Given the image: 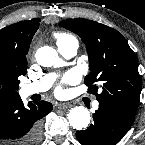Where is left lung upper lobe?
Returning a JSON list of instances; mask_svg holds the SVG:
<instances>
[{"mask_svg":"<svg viewBox=\"0 0 145 145\" xmlns=\"http://www.w3.org/2000/svg\"><path fill=\"white\" fill-rule=\"evenodd\" d=\"M60 24L79 35L86 45L90 73L84 82L99 104L114 105L135 114L141 78L137 57L126 39L117 30L91 20L68 19ZM96 82L100 83V94Z\"/></svg>","mask_w":145,"mask_h":145,"instance_id":"5c2ea615","label":"left lung upper lobe"}]
</instances>
